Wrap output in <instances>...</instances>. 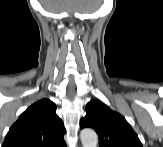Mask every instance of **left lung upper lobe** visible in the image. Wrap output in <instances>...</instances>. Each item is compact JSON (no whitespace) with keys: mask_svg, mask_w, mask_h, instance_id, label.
Returning a JSON list of instances; mask_svg holds the SVG:
<instances>
[{"mask_svg":"<svg viewBox=\"0 0 163 147\" xmlns=\"http://www.w3.org/2000/svg\"><path fill=\"white\" fill-rule=\"evenodd\" d=\"M80 127L93 128L98 134L100 147H142L125 118L99 100L87 103L86 115L81 119Z\"/></svg>","mask_w":163,"mask_h":147,"instance_id":"obj_1","label":"left lung upper lobe"}]
</instances>
